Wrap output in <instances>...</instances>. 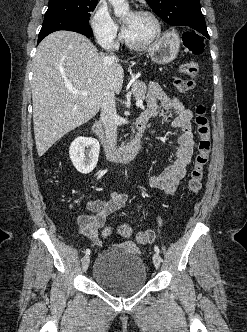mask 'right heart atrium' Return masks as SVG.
Here are the masks:
<instances>
[{"mask_svg":"<svg viewBox=\"0 0 247 332\" xmlns=\"http://www.w3.org/2000/svg\"><path fill=\"white\" fill-rule=\"evenodd\" d=\"M90 27L100 45L113 47L116 44L118 27L105 5L95 7L90 17Z\"/></svg>","mask_w":247,"mask_h":332,"instance_id":"obj_1","label":"right heart atrium"}]
</instances>
